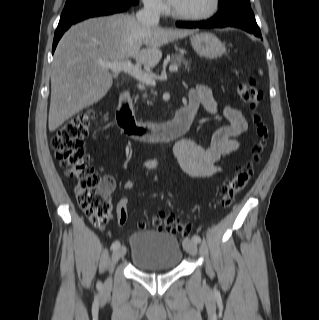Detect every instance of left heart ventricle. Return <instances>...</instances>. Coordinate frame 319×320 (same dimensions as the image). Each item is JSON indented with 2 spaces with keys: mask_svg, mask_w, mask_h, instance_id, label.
I'll list each match as a JSON object with an SVG mask.
<instances>
[{
  "mask_svg": "<svg viewBox=\"0 0 319 320\" xmlns=\"http://www.w3.org/2000/svg\"><path fill=\"white\" fill-rule=\"evenodd\" d=\"M212 0H179L174 9L182 14H200L210 9Z\"/></svg>",
  "mask_w": 319,
  "mask_h": 320,
  "instance_id": "left-heart-ventricle-1",
  "label": "left heart ventricle"
}]
</instances>
